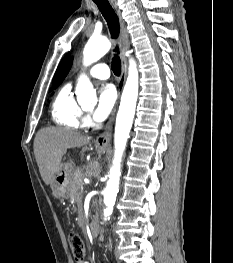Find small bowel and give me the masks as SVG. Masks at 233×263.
Wrapping results in <instances>:
<instances>
[{
    "mask_svg": "<svg viewBox=\"0 0 233 263\" xmlns=\"http://www.w3.org/2000/svg\"><path fill=\"white\" fill-rule=\"evenodd\" d=\"M80 263H90L88 260H83Z\"/></svg>",
    "mask_w": 233,
    "mask_h": 263,
    "instance_id": "c3829d8e",
    "label": "small bowel"
}]
</instances>
